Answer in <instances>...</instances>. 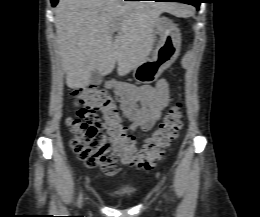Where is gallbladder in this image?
<instances>
[{
  "label": "gallbladder",
  "instance_id": "1",
  "mask_svg": "<svg viewBox=\"0 0 260 217\" xmlns=\"http://www.w3.org/2000/svg\"><path fill=\"white\" fill-rule=\"evenodd\" d=\"M102 82V75L98 70H93L90 77V83L92 85H98Z\"/></svg>",
  "mask_w": 260,
  "mask_h": 217
}]
</instances>
